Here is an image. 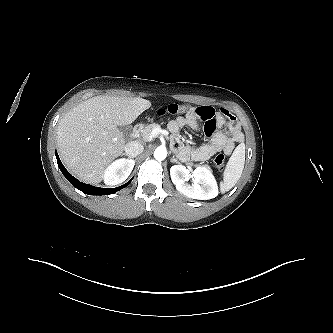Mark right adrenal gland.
I'll return each instance as SVG.
<instances>
[{
	"label": "right adrenal gland",
	"instance_id": "2a0ac1e0",
	"mask_svg": "<svg viewBox=\"0 0 333 333\" xmlns=\"http://www.w3.org/2000/svg\"><path fill=\"white\" fill-rule=\"evenodd\" d=\"M123 156H128L129 158H132V159L135 158V156H130V155H127L126 153H123Z\"/></svg>",
	"mask_w": 333,
	"mask_h": 333
}]
</instances>
